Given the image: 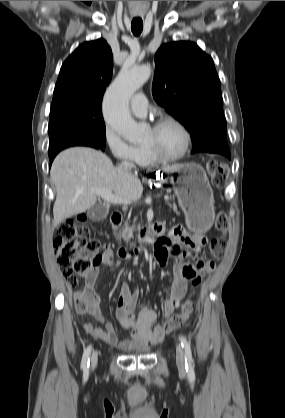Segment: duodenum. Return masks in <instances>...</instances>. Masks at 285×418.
I'll use <instances>...</instances> for the list:
<instances>
[{
  "instance_id": "1",
  "label": "duodenum",
  "mask_w": 285,
  "mask_h": 418,
  "mask_svg": "<svg viewBox=\"0 0 285 418\" xmlns=\"http://www.w3.org/2000/svg\"><path fill=\"white\" fill-rule=\"evenodd\" d=\"M122 215L120 212L115 211L113 212V214L111 215V224L113 229L117 230L120 228L121 224H122ZM149 233L148 231H143L142 233V237L146 238L148 237ZM134 251H132L131 249L128 248H122L119 251V255L123 258H127L128 256H130Z\"/></svg>"
}]
</instances>
